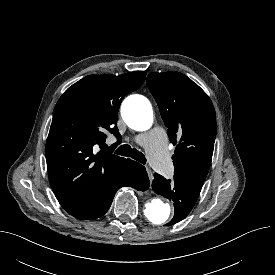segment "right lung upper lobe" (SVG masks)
I'll return each mask as SVG.
<instances>
[{
    "label": "right lung upper lobe",
    "instance_id": "1",
    "mask_svg": "<svg viewBox=\"0 0 275 275\" xmlns=\"http://www.w3.org/2000/svg\"><path fill=\"white\" fill-rule=\"evenodd\" d=\"M145 76V71L86 76L58 100L45 152L52 189L72 216L91 212L130 160L105 149L104 132L119 139L116 123L121 101L143 84Z\"/></svg>",
    "mask_w": 275,
    "mask_h": 275
}]
</instances>
